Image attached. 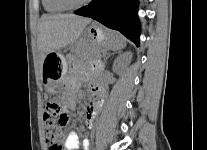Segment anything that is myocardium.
I'll use <instances>...</instances> for the list:
<instances>
[{
    "label": "myocardium",
    "mask_w": 207,
    "mask_h": 150,
    "mask_svg": "<svg viewBox=\"0 0 207 150\" xmlns=\"http://www.w3.org/2000/svg\"><path fill=\"white\" fill-rule=\"evenodd\" d=\"M67 9H77L87 5L91 0H82L80 2H73L71 0H58Z\"/></svg>",
    "instance_id": "1"
}]
</instances>
